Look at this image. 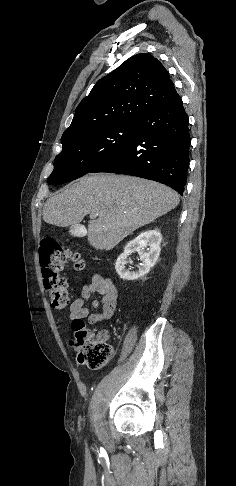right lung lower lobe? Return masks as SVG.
I'll return each mask as SVG.
<instances>
[{
    "label": "right lung lower lobe",
    "instance_id": "obj_1",
    "mask_svg": "<svg viewBox=\"0 0 236 486\" xmlns=\"http://www.w3.org/2000/svg\"><path fill=\"white\" fill-rule=\"evenodd\" d=\"M182 100L158 107L136 122L132 141L90 173L110 172L138 176L185 192L191 138Z\"/></svg>",
    "mask_w": 236,
    "mask_h": 486
}]
</instances>
